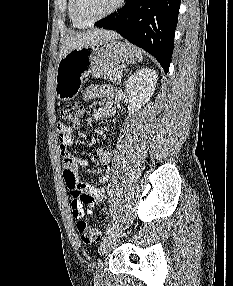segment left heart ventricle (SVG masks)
Segmentation results:
<instances>
[{
    "instance_id": "1",
    "label": "left heart ventricle",
    "mask_w": 233,
    "mask_h": 286,
    "mask_svg": "<svg viewBox=\"0 0 233 286\" xmlns=\"http://www.w3.org/2000/svg\"><path fill=\"white\" fill-rule=\"evenodd\" d=\"M117 0H81V14L87 19H94L111 9Z\"/></svg>"
}]
</instances>
